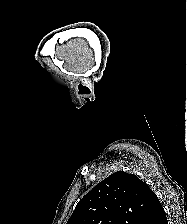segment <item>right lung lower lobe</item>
Returning <instances> with one entry per match:
<instances>
[{
    "label": "right lung lower lobe",
    "mask_w": 187,
    "mask_h": 224,
    "mask_svg": "<svg viewBox=\"0 0 187 224\" xmlns=\"http://www.w3.org/2000/svg\"><path fill=\"white\" fill-rule=\"evenodd\" d=\"M162 224H168V221L167 219H165V221L162 223Z\"/></svg>",
    "instance_id": "obj_1"
}]
</instances>
